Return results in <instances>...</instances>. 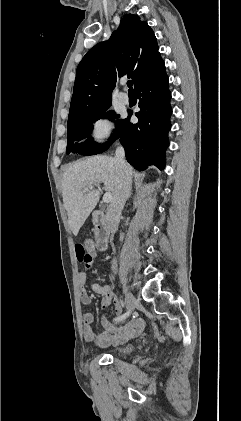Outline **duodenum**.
I'll use <instances>...</instances> for the list:
<instances>
[{
  "mask_svg": "<svg viewBox=\"0 0 241 421\" xmlns=\"http://www.w3.org/2000/svg\"><path fill=\"white\" fill-rule=\"evenodd\" d=\"M92 221L94 224V234L97 248L103 251L107 248L110 237L105 213L99 210L94 211L92 213Z\"/></svg>",
  "mask_w": 241,
  "mask_h": 421,
  "instance_id": "duodenum-1",
  "label": "duodenum"
}]
</instances>
